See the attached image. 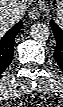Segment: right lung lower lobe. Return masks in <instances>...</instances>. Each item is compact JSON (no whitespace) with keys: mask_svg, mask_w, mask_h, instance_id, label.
Instances as JSON below:
<instances>
[{"mask_svg":"<svg viewBox=\"0 0 63 107\" xmlns=\"http://www.w3.org/2000/svg\"><path fill=\"white\" fill-rule=\"evenodd\" d=\"M22 26V21L18 22L0 39V74L12 61L15 36Z\"/></svg>","mask_w":63,"mask_h":107,"instance_id":"98d812e1","label":"right lung lower lobe"}]
</instances>
